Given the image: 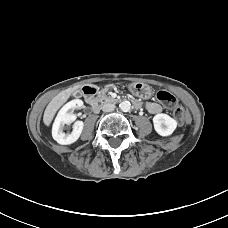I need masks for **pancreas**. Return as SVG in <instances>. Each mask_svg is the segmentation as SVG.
<instances>
[{
  "label": "pancreas",
  "instance_id": "obj_1",
  "mask_svg": "<svg viewBox=\"0 0 228 228\" xmlns=\"http://www.w3.org/2000/svg\"><path fill=\"white\" fill-rule=\"evenodd\" d=\"M106 94H108V91H104L98 96V101L102 104L106 102H113V99L108 97Z\"/></svg>",
  "mask_w": 228,
  "mask_h": 228
}]
</instances>
